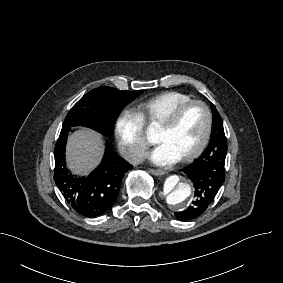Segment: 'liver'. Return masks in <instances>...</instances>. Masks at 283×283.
<instances>
[{
    "label": "liver",
    "instance_id": "obj_1",
    "mask_svg": "<svg viewBox=\"0 0 283 283\" xmlns=\"http://www.w3.org/2000/svg\"><path fill=\"white\" fill-rule=\"evenodd\" d=\"M101 136L90 130L78 131L69 138L68 162L76 172L93 169L102 155Z\"/></svg>",
    "mask_w": 283,
    "mask_h": 283
}]
</instances>
